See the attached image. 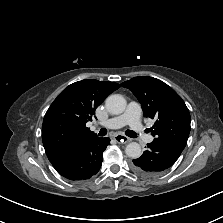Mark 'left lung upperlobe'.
Segmentation results:
<instances>
[{
    "label": "left lung upper lobe",
    "instance_id": "left-lung-upper-lobe-1",
    "mask_svg": "<svg viewBox=\"0 0 223 223\" xmlns=\"http://www.w3.org/2000/svg\"><path fill=\"white\" fill-rule=\"evenodd\" d=\"M141 103L144 116L154 119V141L185 148L190 133V113L181 97L163 81L139 76L121 84Z\"/></svg>",
    "mask_w": 223,
    "mask_h": 223
}]
</instances>
